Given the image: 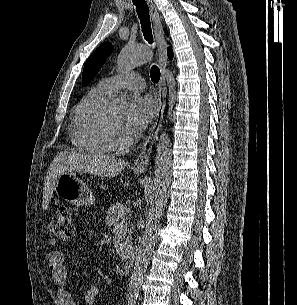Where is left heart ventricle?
Masks as SVG:
<instances>
[{"instance_id": "left-heart-ventricle-1", "label": "left heart ventricle", "mask_w": 297, "mask_h": 305, "mask_svg": "<svg viewBox=\"0 0 297 305\" xmlns=\"http://www.w3.org/2000/svg\"><path fill=\"white\" fill-rule=\"evenodd\" d=\"M108 114L115 140L118 142H123L125 140H128L129 136L126 134L122 126L124 114L121 112H110Z\"/></svg>"}]
</instances>
